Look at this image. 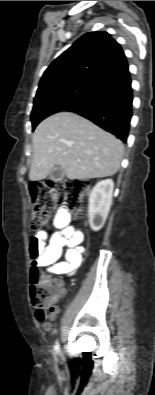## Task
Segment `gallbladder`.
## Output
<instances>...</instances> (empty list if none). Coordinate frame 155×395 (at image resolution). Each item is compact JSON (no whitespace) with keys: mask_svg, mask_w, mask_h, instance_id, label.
<instances>
[{"mask_svg":"<svg viewBox=\"0 0 155 395\" xmlns=\"http://www.w3.org/2000/svg\"><path fill=\"white\" fill-rule=\"evenodd\" d=\"M64 176H65V172L59 166H55L49 173L50 180H52L54 182L62 181Z\"/></svg>","mask_w":155,"mask_h":395,"instance_id":"bac80fb5","label":"gallbladder"}]
</instances>
